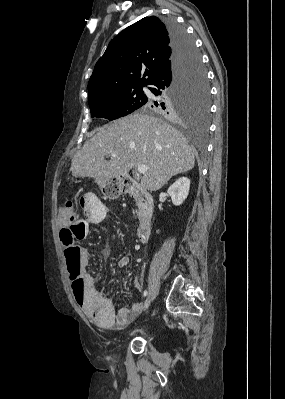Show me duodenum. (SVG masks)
I'll return each mask as SVG.
<instances>
[{
  "instance_id": "410a0bca",
  "label": "duodenum",
  "mask_w": 285,
  "mask_h": 399,
  "mask_svg": "<svg viewBox=\"0 0 285 399\" xmlns=\"http://www.w3.org/2000/svg\"><path fill=\"white\" fill-rule=\"evenodd\" d=\"M125 189L126 193L138 201L141 206V217L137 238L140 242H146L150 237L152 227L154 225L153 199L151 195L145 192L138 184H127Z\"/></svg>"
}]
</instances>
